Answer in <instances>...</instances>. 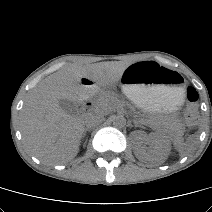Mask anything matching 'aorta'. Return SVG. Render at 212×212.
Instances as JSON below:
<instances>
[{"mask_svg":"<svg viewBox=\"0 0 212 212\" xmlns=\"http://www.w3.org/2000/svg\"><path fill=\"white\" fill-rule=\"evenodd\" d=\"M113 125L117 128H123L126 125V119L122 115H117L113 118Z\"/></svg>","mask_w":212,"mask_h":212,"instance_id":"aorta-1","label":"aorta"}]
</instances>
